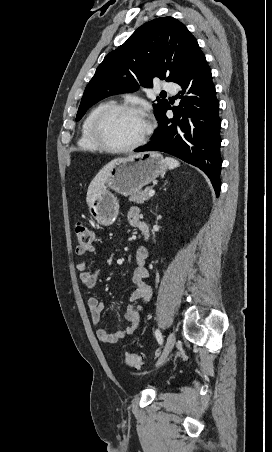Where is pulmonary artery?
I'll use <instances>...</instances> for the list:
<instances>
[{
  "instance_id": "obj_1",
  "label": "pulmonary artery",
  "mask_w": 272,
  "mask_h": 452,
  "mask_svg": "<svg viewBox=\"0 0 272 452\" xmlns=\"http://www.w3.org/2000/svg\"><path fill=\"white\" fill-rule=\"evenodd\" d=\"M160 88L167 92H176L177 91V85L175 82L171 81H164L162 82Z\"/></svg>"
}]
</instances>
